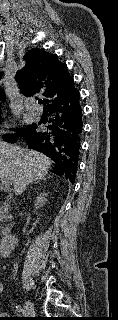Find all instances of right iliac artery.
<instances>
[{"instance_id": "obj_1", "label": "right iliac artery", "mask_w": 118, "mask_h": 320, "mask_svg": "<svg viewBox=\"0 0 118 320\" xmlns=\"http://www.w3.org/2000/svg\"><path fill=\"white\" fill-rule=\"evenodd\" d=\"M16 310L18 312H24L23 308L20 305L16 306Z\"/></svg>"}]
</instances>
